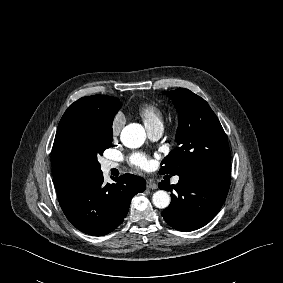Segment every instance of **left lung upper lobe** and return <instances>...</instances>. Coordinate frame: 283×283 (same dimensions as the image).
<instances>
[{"label": "left lung upper lobe", "mask_w": 283, "mask_h": 283, "mask_svg": "<svg viewBox=\"0 0 283 283\" xmlns=\"http://www.w3.org/2000/svg\"><path fill=\"white\" fill-rule=\"evenodd\" d=\"M168 96L179 113L178 146L164 158L159 172L230 179L226 134L208 103L185 88L170 91Z\"/></svg>", "instance_id": "5c2ea615"}]
</instances>
